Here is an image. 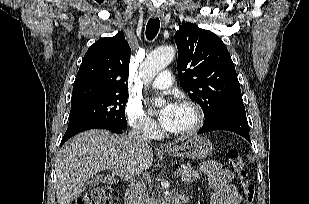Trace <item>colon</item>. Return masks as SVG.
<instances>
[{"label":"colon","mask_w":309,"mask_h":204,"mask_svg":"<svg viewBox=\"0 0 309 204\" xmlns=\"http://www.w3.org/2000/svg\"><path fill=\"white\" fill-rule=\"evenodd\" d=\"M227 157L229 165L237 173V176L241 182L245 195V204H254L255 187L248 180L244 162L240 157L239 152L236 149H229L227 152ZM113 193L114 189L111 186H100L80 196L77 199L76 204H110Z\"/></svg>","instance_id":"colon-1"}]
</instances>
